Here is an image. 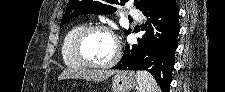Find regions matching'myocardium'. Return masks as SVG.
<instances>
[{
    "label": "myocardium",
    "mask_w": 225,
    "mask_h": 92,
    "mask_svg": "<svg viewBox=\"0 0 225 92\" xmlns=\"http://www.w3.org/2000/svg\"><path fill=\"white\" fill-rule=\"evenodd\" d=\"M95 31H104L108 33L114 40L115 54L113 58L106 63H101V64L95 63L92 60H90L88 56L84 53V50H83L84 41L91 33ZM72 51L76 60L82 67H86L90 69H108L114 66L120 59L121 45L117 36L115 35V33L110 27L104 24L96 23V24L85 26L82 30L78 32V34L75 36L72 42Z\"/></svg>",
    "instance_id": "myocardium-1"
}]
</instances>
